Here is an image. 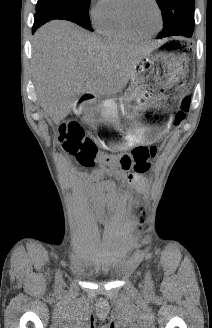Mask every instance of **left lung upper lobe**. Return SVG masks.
Here are the masks:
<instances>
[{"mask_svg": "<svg viewBox=\"0 0 212 328\" xmlns=\"http://www.w3.org/2000/svg\"><path fill=\"white\" fill-rule=\"evenodd\" d=\"M162 13L164 28L158 38L191 37L194 31L195 0H156Z\"/></svg>", "mask_w": 212, "mask_h": 328, "instance_id": "left-lung-upper-lobe-1", "label": "left lung upper lobe"}]
</instances>
